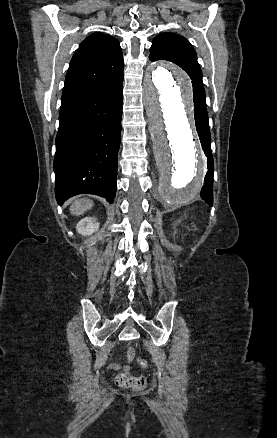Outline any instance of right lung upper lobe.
I'll list each match as a JSON object with an SVG mask.
<instances>
[{
  "instance_id": "1",
  "label": "right lung upper lobe",
  "mask_w": 277,
  "mask_h": 438,
  "mask_svg": "<svg viewBox=\"0 0 277 438\" xmlns=\"http://www.w3.org/2000/svg\"><path fill=\"white\" fill-rule=\"evenodd\" d=\"M123 68L119 41L107 34H92L80 44L72 57L62 97L112 79Z\"/></svg>"
}]
</instances>
